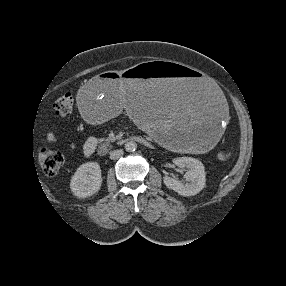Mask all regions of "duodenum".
I'll use <instances>...</instances> for the list:
<instances>
[{"label":"duodenum","mask_w":286,"mask_h":286,"mask_svg":"<svg viewBox=\"0 0 286 286\" xmlns=\"http://www.w3.org/2000/svg\"><path fill=\"white\" fill-rule=\"evenodd\" d=\"M131 140L137 141L145 146L149 145V142L145 138L140 136H129L126 137L125 139L119 140L117 143H123L125 141H131ZM112 145L113 144L109 142H101L98 146L99 154L101 155L105 154Z\"/></svg>","instance_id":"1"}]
</instances>
